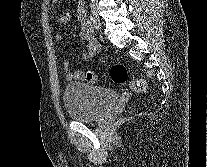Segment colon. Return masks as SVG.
<instances>
[{
  "label": "colon",
  "mask_w": 207,
  "mask_h": 167,
  "mask_svg": "<svg viewBox=\"0 0 207 167\" xmlns=\"http://www.w3.org/2000/svg\"><path fill=\"white\" fill-rule=\"evenodd\" d=\"M109 75L111 80L116 84H125L128 82L129 79V72L127 67L124 64H114L109 71ZM85 78L89 82H96L97 81V74L93 71H87L85 73ZM131 88L139 93H146L148 92V85L146 81L142 78H135L130 82Z\"/></svg>",
  "instance_id": "colon-1"
}]
</instances>
